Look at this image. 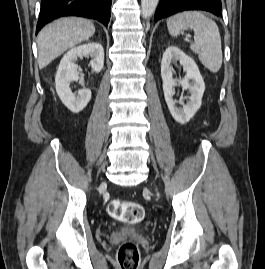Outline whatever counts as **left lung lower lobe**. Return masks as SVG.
I'll use <instances>...</instances> for the list:
<instances>
[{"label":"left lung lower lobe","mask_w":265,"mask_h":269,"mask_svg":"<svg viewBox=\"0 0 265 269\" xmlns=\"http://www.w3.org/2000/svg\"><path fill=\"white\" fill-rule=\"evenodd\" d=\"M221 0H160L154 20L169 17L185 10H204L221 16Z\"/></svg>","instance_id":"obj_1"}]
</instances>
